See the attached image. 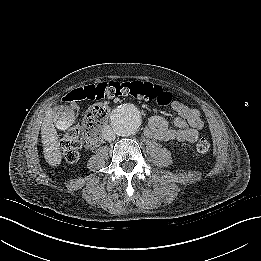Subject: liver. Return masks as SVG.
Masks as SVG:
<instances>
[{"instance_id": "6515ba94", "label": "liver", "mask_w": 261, "mask_h": 261, "mask_svg": "<svg viewBox=\"0 0 261 261\" xmlns=\"http://www.w3.org/2000/svg\"><path fill=\"white\" fill-rule=\"evenodd\" d=\"M74 122V114L62 113L60 116L56 108H49L44 117L41 127V140L43 144V153L46 162L51 166H57L61 163V149L59 144V135L56 127L65 130Z\"/></svg>"}]
</instances>
